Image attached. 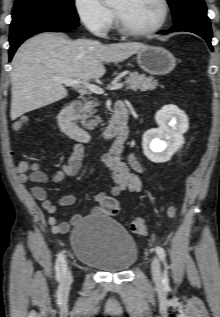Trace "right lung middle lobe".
Here are the masks:
<instances>
[{
	"label": "right lung middle lobe",
	"mask_w": 220,
	"mask_h": 317,
	"mask_svg": "<svg viewBox=\"0 0 220 317\" xmlns=\"http://www.w3.org/2000/svg\"><path fill=\"white\" fill-rule=\"evenodd\" d=\"M57 16L79 21L74 0H16L12 12L11 26L33 17Z\"/></svg>",
	"instance_id": "right-lung-middle-lobe-1"
}]
</instances>
